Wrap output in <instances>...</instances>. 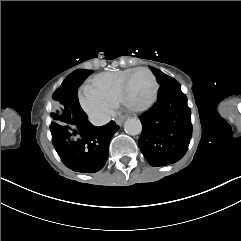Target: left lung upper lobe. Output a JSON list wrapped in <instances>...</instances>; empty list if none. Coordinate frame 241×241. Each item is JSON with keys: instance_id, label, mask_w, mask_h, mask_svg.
<instances>
[{"instance_id": "5c2ea615", "label": "left lung upper lobe", "mask_w": 241, "mask_h": 241, "mask_svg": "<svg viewBox=\"0 0 241 241\" xmlns=\"http://www.w3.org/2000/svg\"><path fill=\"white\" fill-rule=\"evenodd\" d=\"M151 70L154 73V75L156 76L157 81L160 85H164V84H167V83L175 80L156 68H151Z\"/></svg>"}]
</instances>
